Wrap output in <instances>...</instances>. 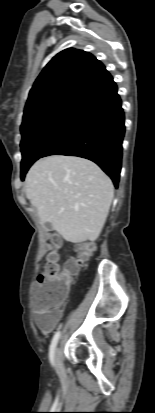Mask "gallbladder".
Listing matches in <instances>:
<instances>
[{
	"label": "gallbladder",
	"mask_w": 155,
	"mask_h": 413,
	"mask_svg": "<svg viewBox=\"0 0 155 413\" xmlns=\"http://www.w3.org/2000/svg\"><path fill=\"white\" fill-rule=\"evenodd\" d=\"M47 227H48V228H51L52 225H51L50 223H47Z\"/></svg>",
	"instance_id": "obj_1"
}]
</instances>
